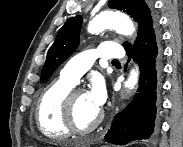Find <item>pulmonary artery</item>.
<instances>
[{"mask_svg":"<svg viewBox=\"0 0 183 147\" xmlns=\"http://www.w3.org/2000/svg\"><path fill=\"white\" fill-rule=\"evenodd\" d=\"M123 57L124 50L120 44L104 42L97 48L83 51L70 59L61 70L60 77L75 85L96 59H121Z\"/></svg>","mask_w":183,"mask_h":147,"instance_id":"pulmonary-artery-1","label":"pulmonary artery"}]
</instances>
